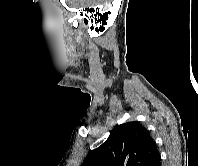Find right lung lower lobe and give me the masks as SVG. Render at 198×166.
Wrapping results in <instances>:
<instances>
[{
	"label": "right lung lower lobe",
	"mask_w": 198,
	"mask_h": 166,
	"mask_svg": "<svg viewBox=\"0 0 198 166\" xmlns=\"http://www.w3.org/2000/svg\"><path fill=\"white\" fill-rule=\"evenodd\" d=\"M160 161H161L160 155L157 154V155L152 159V161L148 164V166H161V165H160Z\"/></svg>",
	"instance_id": "1"
}]
</instances>
